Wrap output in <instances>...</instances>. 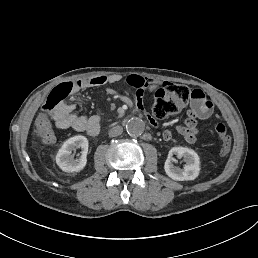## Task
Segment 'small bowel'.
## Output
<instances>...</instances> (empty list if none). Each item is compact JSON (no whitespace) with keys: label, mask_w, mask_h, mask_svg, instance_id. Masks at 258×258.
I'll return each mask as SVG.
<instances>
[{"label":"small bowel","mask_w":258,"mask_h":258,"mask_svg":"<svg viewBox=\"0 0 258 258\" xmlns=\"http://www.w3.org/2000/svg\"><path fill=\"white\" fill-rule=\"evenodd\" d=\"M136 89V103L139 110L146 114L147 119L153 125H157L155 118L145 111L143 102L144 91L153 86V83L146 77L139 75H130L125 79L120 74L96 75L80 79L75 82L76 90L104 87L110 84H116L124 81ZM213 104L206 99L204 93L195 89L191 93L190 106L187 110V118L183 123L176 127L177 132L188 143H195L198 134V119H206L212 113ZM53 119L55 126L59 129H74L80 132H87L91 136H96L100 131V119L97 115L84 116L73 113L72 106L67 103L58 108L54 114ZM38 136L41 143L45 146H50L55 143V135L49 121L41 116L38 120ZM165 141L172 139V132L165 130L163 132Z\"/></svg>","instance_id":"obj_1"}]
</instances>
